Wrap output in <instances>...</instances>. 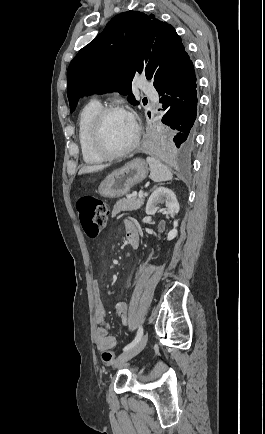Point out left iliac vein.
Masks as SVG:
<instances>
[{"label": "left iliac vein", "mask_w": 265, "mask_h": 434, "mask_svg": "<svg viewBox=\"0 0 265 434\" xmlns=\"http://www.w3.org/2000/svg\"><path fill=\"white\" fill-rule=\"evenodd\" d=\"M147 342H148V335L144 334L135 346L125 351L118 357V359L115 361V365L117 367H122L129 359H131L132 357L137 355L141 350H143Z\"/></svg>", "instance_id": "1"}]
</instances>
